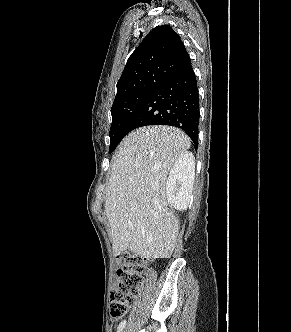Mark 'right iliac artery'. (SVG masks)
Returning a JSON list of instances; mask_svg holds the SVG:
<instances>
[{
	"label": "right iliac artery",
	"instance_id": "obj_1",
	"mask_svg": "<svg viewBox=\"0 0 291 332\" xmlns=\"http://www.w3.org/2000/svg\"><path fill=\"white\" fill-rule=\"evenodd\" d=\"M126 325V320H123L119 326H118V329H117V332H121L123 330V328L125 327Z\"/></svg>",
	"mask_w": 291,
	"mask_h": 332
}]
</instances>
